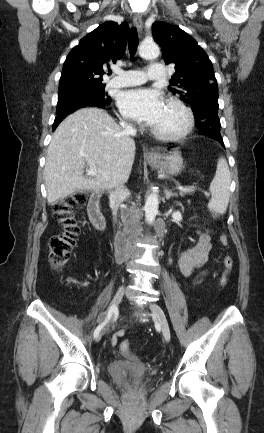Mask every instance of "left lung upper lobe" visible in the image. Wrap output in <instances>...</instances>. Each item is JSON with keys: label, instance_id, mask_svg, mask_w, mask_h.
Segmentation results:
<instances>
[{"label": "left lung upper lobe", "instance_id": "left-lung-upper-lobe-1", "mask_svg": "<svg viewBox=\"0 0 264 433\" xmlns=\"http://www.w3.org/2000/svg\"><path fill=\"white\" fill-rule=\"evenodd\" d=\"M152 30L165 63L175 64L176 72L170 80L172 87L169 90L189 103L193 112L202 108L218 109V86L213 65L195 39L178 26L166 22L156 21Z\"/></svg>", "mask_w": 264, "mask_h": 433}]
</instances>
